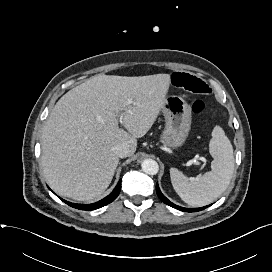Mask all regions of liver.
<instances>
[{
	"mask_svg": "<svg viewBox=\"0 0 272 272\" xmlns=\"http://www.w3.org/2000/svg\"><path fill=\"white\" fill-rule=\"evenodd\" d=\"M170 82L169 74H99L63 95L41 134V166L51 188L82 202L99 197L119 162L112 148L126 143L129 156L135 153L137 138L149 131L166 102Z\"/></svg>",
	"mask_w": 272,
	"mask_h": 272,
	"instance_id": "6515ba94",
	"label": "liver"
}]
</instances>
